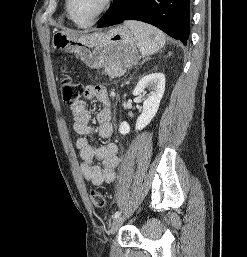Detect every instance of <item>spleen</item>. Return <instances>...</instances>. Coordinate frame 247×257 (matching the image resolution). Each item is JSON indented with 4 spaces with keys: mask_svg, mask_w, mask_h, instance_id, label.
Returning a JSON list of instances; mask_svg holds the SVG:
<instances>
[{
    "mask_svg": "<svg viewBox=\"0 0 247 257\" xmlns=\"http://www.w3.org/2000/svg\"><path fill=\"white\" fill-rule=\"evenodd\" d=\"M124 24L135 36L142 55H151L165 45V35L156 27L139 21H125Z\"/></svg>",
    "mask_w": 247,
    "mask_h": 257,
    "instance_id": "spleen-1",
    "label": "spleen"
}]
</instances>
